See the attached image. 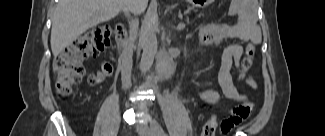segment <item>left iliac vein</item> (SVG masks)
<instances>
[{
	"instance_id": "4c4485c4",
	"label": "left iliac vein",
	"mask_w": 325,
	"mask_h": 136,
	"mask_svg": "<svg viewBox=\"0 0 325 136\" xmlns=\"http://www.w3.org/2000/svg\"><path fill=\"white\" fill-rule=\"evenodd\" d=\"M137 131L145 136H158L157 125L153 123L150 126L137 125Z\"/></svg>"
}]
</instances>
